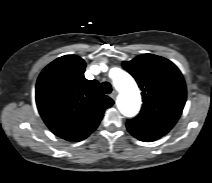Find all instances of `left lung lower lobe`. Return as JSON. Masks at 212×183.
<instances>
[{"label":"left lung lower lobe","instance_id":"left-lung-lower-lobe-1","mask_svg":"<svg viewBox=\"0 0 212 183\" xmlns=\"http://www.w3.org/2000/svg\"><path fill=\"white\" fill-rule=\"evenodd\" d=\"M129 132H130L135 138H137V139H139V140H141V141H145V142L154 141V140H157L158 138H160V136L145 134V133L138 132V131H133V130H129Z\"/></svg>","mask_w":212,"mask_h":183}]
</instances>
